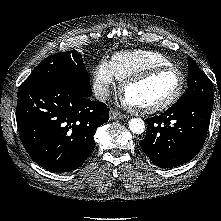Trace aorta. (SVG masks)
Wrapping results in <instances>:
<instances>
[{
    "mask_svg": "<svg viewBox=\"0 0 221 221\" xmlns=\"http://www.w3.org/2000/svg\"><path fill=\"white\" fill-rule=\"evenodd\" d=\"M128 125L134 134H142L145 130V123L141 118H132Z\"/></svg>",
    "mask_w": 221,
    "mask_h": 221,
    "instance_id": "1",
    "label": "aorta"
}]
</instances>
